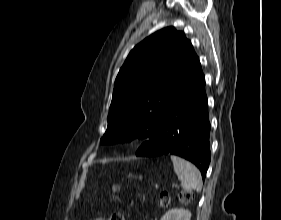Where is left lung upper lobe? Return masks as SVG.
Returning a JSON list of instances; mask_svg holds the SVG:
<instances>
[{
    "instance_id": "left-lung-upper-lobe-1",
    "label": "left lung upper lobe",
    "mask_w": 281,
    "mask_h": 220,
    "mask_svg": "<svg viewBox=\"0 0 281 220\" xmlns=\"http://www.w3.org/2000/svg\"><path fill=\"white\" fill-rule=\"evenodd\" d=\"M200 67L191 42L174 27L150 35L129 53L114 84L102 144L153 138L181 88Z\"/></svg>"
}]
</instances>
